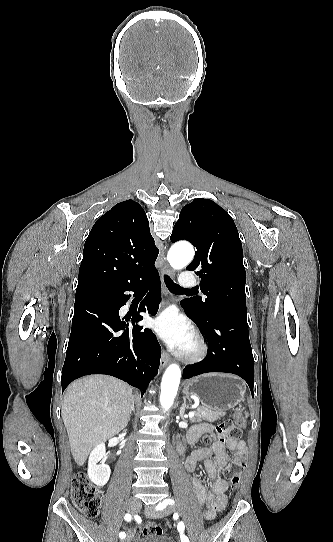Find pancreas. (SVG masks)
<instances>
[{
    "mask_svg": "<svg viewBox=\"0 0 333 542\" xmlns=\"http://www.w3.org/2000/svg\"><path fill=\"white\" fill-rule=\"evenodd\" d=\"M194 412V418H190L192 424H195V422H203V420H206V422H215V420H220V418L226 414V412H221V410H208V408H202V406L196 408Z\"/></svg>",
    "mask_w": 333,
    "mask_h": 542,
    "instance_id": "obj_1",
    "label": "pancreas"
}]
</instances>
